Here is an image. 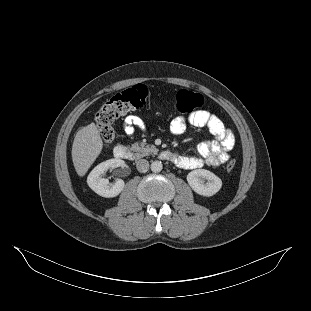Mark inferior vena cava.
<instances>
[{"label":"inferior vena cava","instance_id":"obj_1","mask_svg":"<svg viewBox=\"0 0 311 311\" xmlns=\"http://www.w3.org/2000/svg\"><path fill=\"white\" fill-rule=\"evenodd\" d=\"M137 170L141 173H145L149 169V162L145 159H141L136 164Z\"/></svg>","mask_w":311,"mask_h":311}]
</instances>
